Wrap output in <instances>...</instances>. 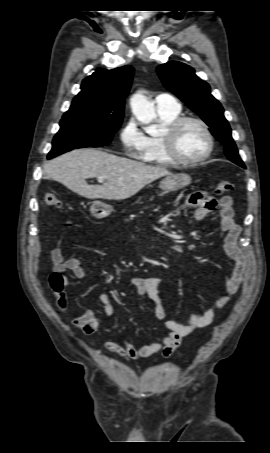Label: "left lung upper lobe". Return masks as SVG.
Returning a JSON list of instances; mask_svg holds the SVG:
<instances>
[{
  "instance_id": "1",
  "label": "left lung upper lobe",
  "mask_w": 270,
  "mask_h": 453,
  "mask_svg": "<svg viewBox=\"0 0 270 453\" xmlns=\"http://www.w3.org/2000/svg\"><path fill=\"white\" fill-rule=\"evenodd\" d=\"M157 73L164 86L209 125L211 133L225 146L227 158L245 168L231 136L230 126L224 117L223 107L212 96L210 86L195 74L193 68L177 61L158 66Z\"/></svg>"
}]
</instances>
